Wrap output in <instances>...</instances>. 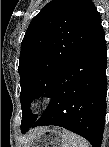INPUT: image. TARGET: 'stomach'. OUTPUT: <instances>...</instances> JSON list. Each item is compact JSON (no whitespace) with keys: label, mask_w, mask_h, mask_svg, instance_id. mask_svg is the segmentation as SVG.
I'll use <instances>...</instances> for the list:
<instances>
[{"label":"stomach","mask_w":109,"mask_h":147,"mask_svg":"<svg viewBox=\"0 0 109 147\" xmlns=\"http://www.w3.org/2000/svg\"><path fill=\"white\" fill-rule=\"evenodd\" d=\"M65 130L58 127L45 128L28 139L24 147H64Z\"/></svg>","instance_id":"0dacf381"}]
</instances>
